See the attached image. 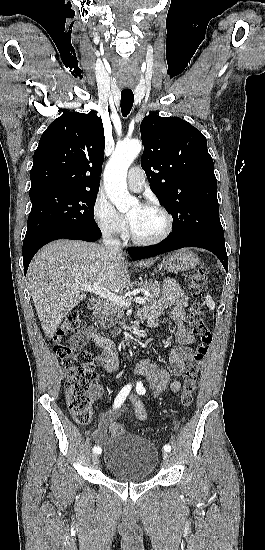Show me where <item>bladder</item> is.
Segmentation results:
<instances>
[{
	"label": "bladder",
	"instance_id": "1",
	"mask_svg": "<svg viewBox=\"0 0 265 550\" xmlns=\"http://www.w3.org/2000/svg\"><path fill=\"white\" fill-rule=\"evenodd\" d=\"M104 466L115 479L122 481H144L155 470L158 451L146 438L140 435L113 436L106 443Z\"/></svg>",
	"mask_w": 265,
	"mask_h": 550
}]
</instances>
